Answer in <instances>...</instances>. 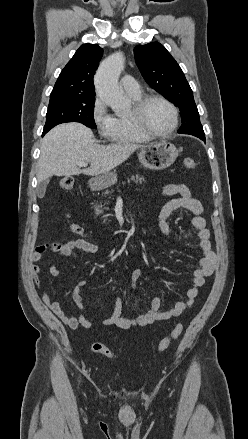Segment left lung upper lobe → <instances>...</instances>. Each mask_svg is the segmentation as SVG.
<instances>
[{"instance_id":"left-lung-upper-lobe-1","label":"left lung upper lobe","mask_w":248,"mask_h":439,"mask_svg":"<svg viewBox=\"0 0 248 439\" xmlns=\"http://www.w3.org/2000/svg\"><path fill=\"white\" fill-rule=\"evenodd\" d=\"M134 54L136 64L149 86L179 107L182 126L178 133L191 134L205 141L192 90L175 59L158 42L138 45Z\"/></svg>"}]
</instances>
